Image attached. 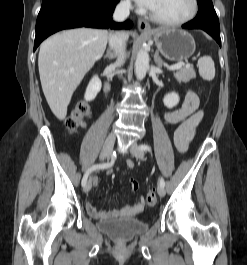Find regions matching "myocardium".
I'll return each mask as SVG.
<instances>
[{"label": "myocardium", "instance_id": "f54148a6", "mask_svg": "<svg viewBox=\"0 0 247 265\" xmlns=\"http://www.w3.org/2000/svg\"><path fill=\"white\" fill-rule=\"evenodd\" d=\"M191 2H192V9H191L190 13L187 16H185L181 19H178V20L164 19V18L156 15L151 10L148 11V14L153 21H155L156 23L161 24L163 26H167V27L182 26V25H185V24L189 23L190 21H192L197 16V14L199 12V8H200L199 0H191Z\"/></svg>", "mask_w": 247, "mask_h": 265}]
</instances>
